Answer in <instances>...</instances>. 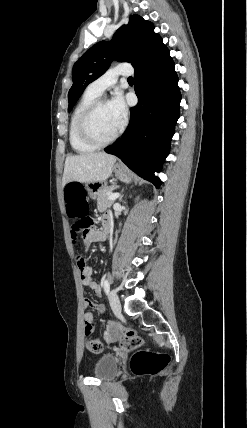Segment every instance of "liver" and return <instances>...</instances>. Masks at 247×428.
Here are the masks:
<instances>
[{
	"mask_svg": "<svg viewBox=\"0 0 247 428\" xmlns=\"http://www.w3.org/2000/svg\"><path fill=\"white\" fill-rule=\"evenodd\" d=\"M117 158L104 152L68 156L65 160L63 186L70 181L103 182L108 179Z\"/></svg>",
	"mask_w": 247,
	"mask_h": 428,
	"instance_id": "6515ba94",
	"label": "liver"
}]
</instances>
